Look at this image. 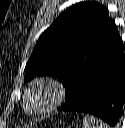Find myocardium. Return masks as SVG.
I'll list each match as a JSON object with an SVG mask.
<instances>
[{
  "instance_id": "f54148a6",
  "label": "myocardium",
  "mask_w": 125,
  "mask_h": 128,
  "mask_svg": "<svg viewBox=\"0 0 125 128\" xmlns=\"http://www.w3.org/2000/svg\"><path fill=\"white\" fill-rule=\"evenodd\" d=\"M35 95L43 97V102L34 105L31 98ZM65 97L64 87L61 82L51 77L34 79L24 93L23 105L25 111L33 116L51 113L61 105Z\"/></svg>"
}]
</instances>
